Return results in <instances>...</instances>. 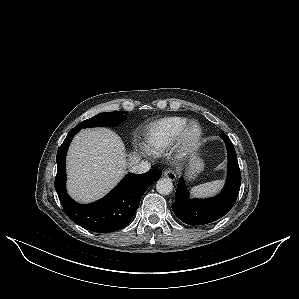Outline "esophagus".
<instances>
[{
  "label": "esophagus",
  "instance_id": "esophagus-1",
  "mask_svg": "<svg viewBox=\"0 0 299 299\" xmlns=\"http://www.w3.org/2000/svg\"><path fill=\"white\" fill-rule=\"evenodd\" d=\"M164 176L170 179L171 181H176L177 176L172 170H165Z\"/></svg>",
  "mask_w": 299,
  "mask_h": 299
}]
</instances>
